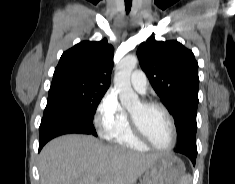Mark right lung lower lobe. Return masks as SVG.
Instances as JSON below:
<instances>
[{
    "instance_id": "right-lung-lower-lobe-1",
    "label": "right lung lower lobe",
    "mask_w": 235,
    "mask_h": 184,
    "mask_svg": "<svg viewBox=\"0 0 235 184\" xmlns=\"http://www.w3.org/2000/svg\"><path fill=\"white\" fill-rule=\"evenodd\" d=\"M39 151L51 139L70 133L97 136L93 120L85 117L70 104L48 97L47 106L39 128Z\"/></svg>"
}]
</instances>
